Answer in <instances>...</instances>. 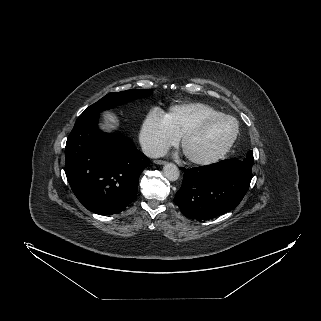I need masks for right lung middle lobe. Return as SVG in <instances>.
I'll return each instance as SVG.
<instances>
[{
  "label": "right lung middle lobe",
  "instance_id": "dd1d6c3e",
  "mask_svg": "<svg viewBox=\"0 0 321 321\" xmlns=\"http://www.w3.org/2000/svg\"><path fill=\"white\" fill-rule=\"evenodd\" d=\"M152 93L151 90L131 89L122 92H112L101 98L99 101L89 106L79 118L99 116L101 111L112 108L116 105L147 97ZM78 118V119H79Z\"/></svg>",
  "mask_w": 321,
  "mask_h": 321
}]
</instances>
